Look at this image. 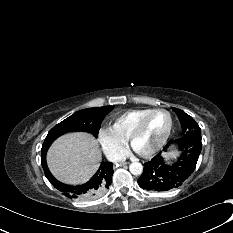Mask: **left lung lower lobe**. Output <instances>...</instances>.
<instances>
[{
	"label": "left lung lower lobe",
	"mask_w": 233,
	"mask_h": 233,
	"mask_svg": "<svg viewBox=\"0 0 233 233\" xmlns=\"http://www.w3.org/2000/svg\"><path fill=\"white\" fill-rule=\"evenodd\" d=\"M170 144L171 142L166 145L164 151ZM201 148L202 144H194L193 147L179 144L181 155L172 165L166 164L161 152L158 153L151 161L145 163L143 173L138 179L139 186L157 192L179 187L195 170Z\"/></svg>",
	"instance_id": "obj_1"
}]
</instances>
